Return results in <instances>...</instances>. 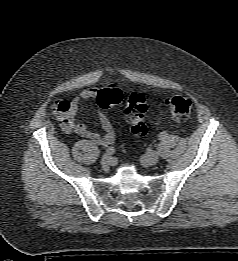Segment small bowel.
I'll return each mask as SVG.
<instances>
[{
  "instance_id": "1",
  "label": "small bowel",
  "mask_w": 238,
  "mask_h": 261,
  "mask_svg": "<svg viewBox=\"0 0 238 261\" xmlns=\"http://www.w3.org/2000/svg\"><path fill=\"white\" fill-rule=\"evenodd\" d=\"M99 92L100 90L97 88H89L72 100H61L65 103V108L56 110V117L60 121L64 132L68 134L75 133L98 145L109 146L115 141V131L108 116L103 111H99L98 118L104 134L90 130L85 123L76 119L81 104L85 101L97 99Z\"/></svg>"
}]
</instances>
